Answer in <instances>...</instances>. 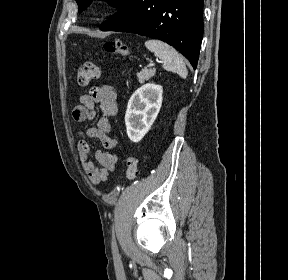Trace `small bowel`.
<instances>
[{
    "instance_id": "c3829d8e",
    "label": "small bowel",
    "mask_w": 288,
    "mask_h": 280,
    "mask_svg": "<svg viewBox=\"0 0 288 280\" xmlns=\"http://www.w3.org/2000/svg\"><path fill=\"white\" fill-rule=\"evenodd\" d=\"M95 104L100 105L102 116L95 127L80 132L81 139L78 142V153L82 167L93 184L106 182L114 171L118 156L112 150L117 146V138L110 135L111 119L118 111L117 95L109 85L93 86L80 97V102L72 111L74 121L82 123L92 121L96 117ZM85 137L97 138L103 148L92 152L89 142ZM94 157L98 166L93 162Z\"/></svg>"
}]
</instances>
